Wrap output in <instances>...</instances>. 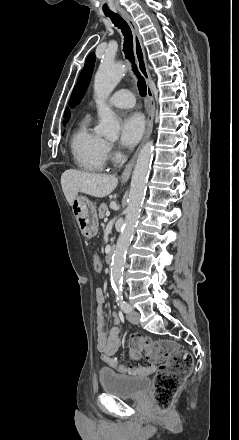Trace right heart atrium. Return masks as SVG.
I'll list each match as a JSON object with an SVG mask.
<instances>
[{
  "label": "right heart atrium",
  "instance_id": "1",
  "mask_svg": "<svg viewBox=\"0 0 239 440\" xmlns=\"http://www.w3.org/2000/svg\"><path fill=\"white\" fill-rule=\"evenodd\" d=\"M104 151H105V155L107 157V159L112 157V151H113V146L111 143L105 142L104 144Z\"/></svg>",
  "mask_w": 239,
  "mask_h": 440
}]
</instances>
